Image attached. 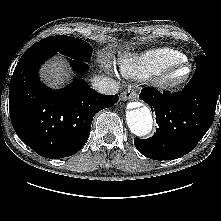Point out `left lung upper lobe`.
Instances as JSON below:
<instances>
[{
  "label": "left lung upper lobe",
  "mask_w": 221,
  "mask_h": 221,
  "mask_svg": "<svg viewBox=\"0 0 221 221\" xmlns=\"http://www.w3.org/2000/svg\"><path fill=\"white\" fill-rule=\"evenodd\" d=\"M196 71H199V70H207V69H212V65L211 63L207 60L206 56H202V55H199L197 58H196Z\"/></svg>",
  "instance_id": "1"
}]
</instances>
